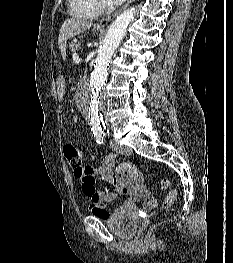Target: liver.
I'll use <instances>...</instances> for the list:
<instances>
[{
  "mask_svg": "<svg viewBox=\"0 0 233 263\" xmlns=\"http://www.w3.org/2000/svg\"><path fill=\"white\" fill-rule=\"evenodd\" d=\"M92 22L79 17L66 19L59 32L58 45L61 51L63 60L66 59V43L67 40L79 35L80 33L90 29Z\"/></svg>",
  "mask_w": 233,
  "mask_h": 263,
  "instance_id": "liver-1",
  "label": "liver"
}]
</instances>
